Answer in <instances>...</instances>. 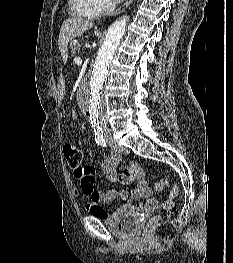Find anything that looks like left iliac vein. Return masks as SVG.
<instances>
[{
	"label": "left iliac vein",
	"instance_id": "1",
	"mask_svg": "<svg viewBox=\"0 0 233 263\" xmlns=\"http://www.w3.org/2000/svg\"><path fill=\"white\" fill-rule=\"evenodd\" d=\"M107 141L109 142L111 148L120 154H128L130 151L127 147L119 145L112 137L107 136Z\"/></svg>",
	"mask_w": 233,
	"mask_h": 263
}]
</instances>
